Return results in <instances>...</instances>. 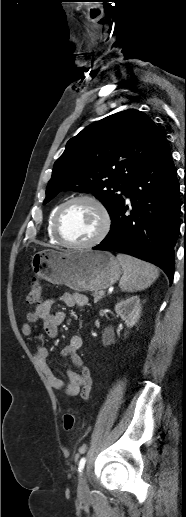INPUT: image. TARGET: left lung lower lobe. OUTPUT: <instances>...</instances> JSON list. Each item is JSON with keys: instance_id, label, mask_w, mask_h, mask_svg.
Listing matches in <instances>:
<instances>
[{"instance_id": "1", "label": "left lung lower lobe", "mask_w": 186, "mask_h": 517, "mask_svg": "<svg viewBox=\"0 0 186 517\" xmlns=\"http://www.w3.org/2000/svg\"><path fill=\"white\" fill-rule=\"evenodd\" d=\"M125 202L111 217V230L95 250L130 254L160 267L170 283L174 277V246L181 209L179 183L171 152L164 139L150 160L128 183Z\"/></svg>"}]
</instances>
